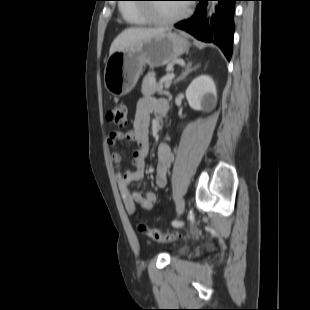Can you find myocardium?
<instances>
[{
  "instance_id": "myocardium-1",
  "label": "myocardium",
  "mask_w": 310,
  "mask_h": 310,
  "mask_svg": "<svg viewBox=\"0 0 310 310\" xmlns=\"http://www.w3.org/2000/svg\"><path fill=\"white\" fill-rule=\"evenodd\" d=\"M144 12L148 15L151 22L154 24H172L175 23L183 18H185L190 13V7L186 6L182 8V10L173 15V16H153L154 10L151 8H144Z\"/></svg>"
}]
</instances>
